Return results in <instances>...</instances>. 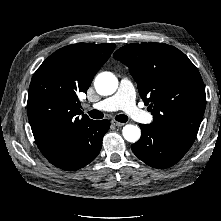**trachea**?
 <instances>
[{"instance_id": "trachea-1", "label": "trachea", "mask_w": 221, "mask_h": 221, "mask_svg": "<svg viewBox=\"0 0 221 221\" xmlns=\"http://www.w3.org/2000/svg\"><path fill=\"white\" fill-rule=\"evenodd\" d=\"M88 114L90 115L91 118H94V119H102L104 116L103 113L98 110H91L88 112ZM115 120H117L118 122L124 123V122H127L128 117L126 115L120 114L115 117Z\"/></svg>"}]
</instances>
